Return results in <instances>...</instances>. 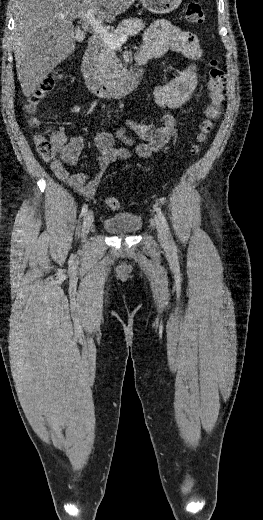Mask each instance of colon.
<instances>
[{
	"label": "colon",
	"mask_w": 263,
	"mask_h": 520,
	"mask_svg": "<svg viewBox=\"0 0 263 520\" xmlns=\"http://www.w3.org/2000/svg\"><path fill=\"white\" fill-rule=\"evenodd\" d=\"M185 19L189 23L202 24L205 20V15L201 4L198 2H189L185 9ZM224 77L225 73L221 66L219 59H211L208 65V80H207V92L210 99V104L206 108V118L200 125V133L198 135L199 144L204 143L209 135L212 133L215 121L220 117L221 106L224 100ZM60 78V73L45 78L38 88L33 92L29 98L27 104V110L30 114H34L38 105L41 101L46 98L55 88L57 80ZM32 125L36 126L38 121L36 118H32ZM36 147L39 155L42 159L50 161L55 157L57 148L55 143L51 139H47L43 136L36 137ZM199 150V145H196L193 149L194 153ZM107 206L117 211L121 208V202L115 197H110L106 200Z\"/></svg>",
	"instance_id": "obj_1"
}]
</instances>
